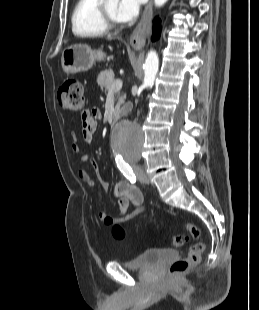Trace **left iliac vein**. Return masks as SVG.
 <instances>
[{
  "label": "left iliac vein",
  "mask_w": 259,
  "mask_h": 310,
  "mask_svg": "<svg viewBox=\"0 0 259 310\" xmlns=\"http://www.w3.org/2000/svg\"><path fill=\"white\" fill-rule=\"evenodd\" d=\"M134 172L138 178V180L141 182V183H149V179L144 171V169L140 166H135L134 167Z\"/></svg>",
  "instance_id": "4c4485c4"
}]
</instances>
